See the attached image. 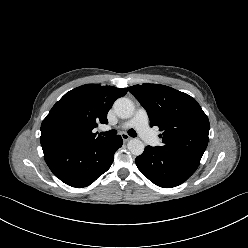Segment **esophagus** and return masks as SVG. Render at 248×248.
I'll return each instance as SVG.
<instances>
[{"mask_svg": "<svg viewBox=\"0 0 248 248\" xmlns=\"http://www.w3.org/2000/svg\"><path fill=\"white\" fill-rule=\"evenodd\" d=\"M122 139L124 142L130 141L132 138L128 134H122Z\"/></svg>", "mask_w": 248, "mask_h": 248, "instance_id": "34e87169", "label": "esophagus"}]
</instances>
